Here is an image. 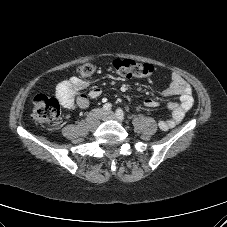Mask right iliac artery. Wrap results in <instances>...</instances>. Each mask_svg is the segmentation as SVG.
I'll return each mask as SVG.
<instances>
[{"label": "right iliac artery", "mask_w": 227, "mask_h": 227, "mask_svg": "<svg viewBox=\"0 0 227 227\" xmlns=\"http://www.w3.org/2000/svg\"><path fill=\"white\" fill-rule=\"evenodd\" d=\"M111 108H112V105L110 103H106L103 105L104 111H109V110H111Z\"/></svg>", "instance_id": "1"}]
</instances>
